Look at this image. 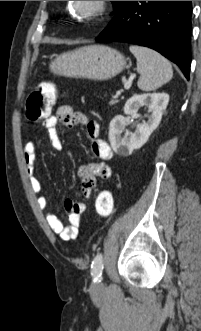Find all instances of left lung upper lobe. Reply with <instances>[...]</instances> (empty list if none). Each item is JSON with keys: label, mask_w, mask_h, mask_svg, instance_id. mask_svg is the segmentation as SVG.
Masks as SVG:
<instances>
[{"label": "left lung upper lobe", "mask_w": 201, "mask_h": 331, "mask_svg": "<svg viewBox=\"0 0 201 331\" xmlns=\"http://www.w3.org/2000/svg\"><path fill=\"white\" fill-rule=\"evenodd\" d=\"M121 2H122V1H112L113 5H114V8H115L114 13L117 12V10H118V8H119Z\"/></svg>", "instance_id": "1"}]
</instances>
